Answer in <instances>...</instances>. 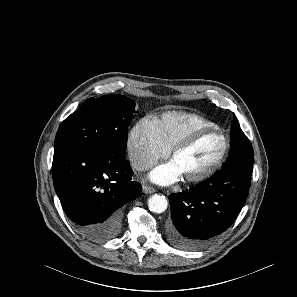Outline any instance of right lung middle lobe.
Segmentation results:
<instances>
[{
	"instance_id": "right-lung-middle-lobe-1",
	"label": "right lung middle lobe",
	"mask_w": 297,
	"mask_h": 297,
	"mask_svg": "<svg viewBox=\"0 0 297 297\" xmlns=\"http://www.w3.org/2000/svg\"><path fill=\"white\" fill-rule=\"evenodd\" d=\"M135 102L122 95L87 99L60 125L55 148L93 146L124 155Z\"/></svg>"
}]
</instances>
